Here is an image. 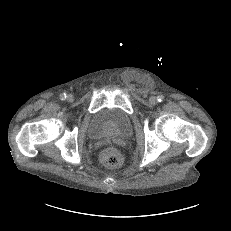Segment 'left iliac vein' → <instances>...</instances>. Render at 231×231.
Segmentation results:
<instances>
[{"mask_svg":"<svg viewBox=\"0 0 231 231\" xmlns=\"http://www.w3.org/2000/svg\"><path fill=\"white\" fill-rule=\"evenodd\" d=\"M157 98L155 97V96H151L150 98H149V102H150V104H152V105H155L156 103H157Z\"/></svg>","mask_w":231,"mask_h":231,"instance_id":"left-iliac-vein-1","label":"left iliac vein"}]
</instances>
